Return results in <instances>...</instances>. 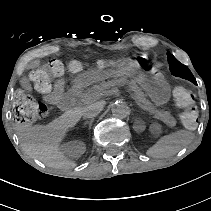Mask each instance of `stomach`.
I'll use <instances>...</instances> for the list:
<instances>
[{
  "instance_id": "obj_1",
  "label": "stomach",
  "mask_w": 211,
  "mask_h": 211,
  "mask_svg": "<svg viewBox=\"0 0 211 211\" xmlns=\"http://www.w3.org/2000/svg\"><path fill=\"white\" fill-rule=\"evenodd\" d=\"M110 77L130 79L132 82L139 84L157 106L167 103L170 99V86L161 74L151 73L142 68L132 66L105 71H88L79 77V82L82 85H90Z\"/></svg>"
}]
</instances>
